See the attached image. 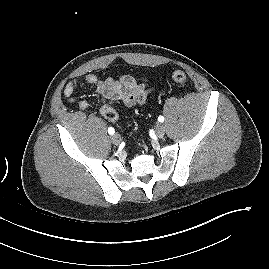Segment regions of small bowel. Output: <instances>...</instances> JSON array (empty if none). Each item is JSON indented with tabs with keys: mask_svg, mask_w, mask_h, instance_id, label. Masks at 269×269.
I'll return each instance as SVG.
<instances>
[{
	"mask_svg": "<svg viewBox=\"0 0 269 269\" xmlns=\"http://www.w3.org/2000/svg\"><path fill=\"white\" fill-rule=\"evenodd\" d=\"M79 82L78 79L69 81L64 88V95L70 103H76L80 109L86 110L91 106L90 102L77 100L74 97V91ZM82 82L96 87L97 94L101 96L104 102L101 113L106 118V109L112 108L111 103L121 101L128 108H134L145 104L151 91L145 79H137L130 75L101 81L94 74H87L83 77Z\"/></svg>",
	"mask_w": 269,
	"mask_h": 269,
	"instance_id": "obj_1",
	"label": "small bowel"
}]
</instances>
